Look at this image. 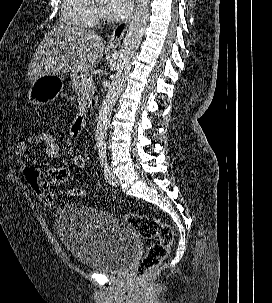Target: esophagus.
Segmentation results:
<instances>
[{
  "label": "esophagus",
  "instance_id": "obj_1",
  "mask_svg": "<svg viewBox=\"0 0 272 303\" xmlns=\"http://www.w3.org/2000/svg\"><path fill=\"white\" fill-rule=\"evenodd\" d=\"M138 3V0H136V5ZM132 15L131 14L125 21L119 23L115 29L113 30V33L111 35V37L109 38L108 42H107V45L109 47H112V48H116L120 45L122 39H123V36L128 28V25L131 21V18H132Z\"/></svg>",
  "mask_w": 272,
  "mask_h": 303
}]
</instances>
